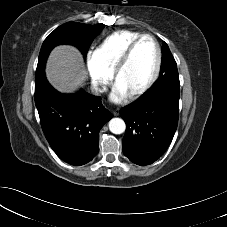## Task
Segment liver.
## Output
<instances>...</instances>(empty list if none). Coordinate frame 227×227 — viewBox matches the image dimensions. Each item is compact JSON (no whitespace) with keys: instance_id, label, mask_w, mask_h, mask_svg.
Masks as SVG:
<instances>
[{"instance_id":"1","label":"liver","mask_w":227,"mask_h":227,"mask_svg":"<svg viewBox=\"0 0 227 227\" xmlns=\"http://www.w3.org/2000/svg\"><path fill=\"white\" fill-rule=\"evenodd\" d=\"M49 82L61 92L75 91L86 79L81 53L72 46H57L46 65Z\"/></svg>"}]
</instances>
